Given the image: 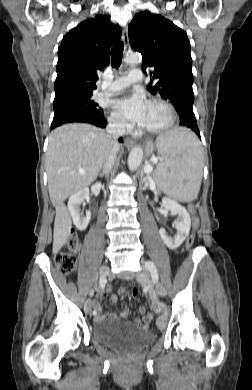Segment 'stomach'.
I'll return each mask as SVG.
<instances>
[{
    "label": "stomach",
    "mask_w": 252,
    "mask_h": 390,
    "mask_svg": "<svg viewBox=\"0 0 252 390\" xmlns=\"http://www.w3.org/2000/svg\"><path fill=\"white\" fill-rule=\"evenodd\" d=\"M154 150V147H153V144L152 143H149L146 147V151L148 154H151Z\"/></svg>",
    "instance_id": "obj_1"
}]
</instances>
